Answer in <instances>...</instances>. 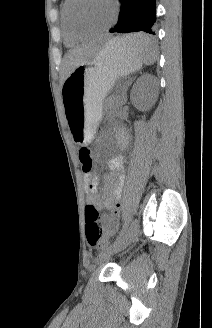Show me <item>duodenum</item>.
I'll list each match as a JSON object with an SVG mask.
<instances>
[{"label":"duodenum","mask_w":212,"mask_h":328,"mask_svg":"<svg viewBox=\"0 0 212 328\" xmlns=\"http://www.w3.org/2000/svg\"><path fill=\"white\" fill-rule=\"evenodd\" d=\"M116 138L118 139V141L121 143V144H124L125 143V137L122 133H117L116 134Z\"/></svg>","instance_id":"1"}]
</instances>
